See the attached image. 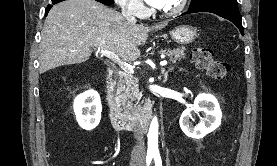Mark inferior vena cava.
Listing matches in <instances>:
<instances>
[{
	"label": "inferior vena cava",
	"instance_id": "602c4592",
	"mask_svg": "<svg viewBox=\"0 0 277 166\" xmlns=\"http://www.w3.org/2000/svg\"><path fill=\"white\" fill-rule=\"evenodd\" d=\"M122 15L125 17V19L128 22H136V19L133 15V12L128 9L127 5H124L122 7ZM134 137L136 139V145L133 147L131 156L132 157H140L144 158L145 157V142H144V137L143 135L139 132L136 131L134 133Z\"/></svg>",
	"mask_w": 277,
	"mask_h": 166
}]
</instances>
